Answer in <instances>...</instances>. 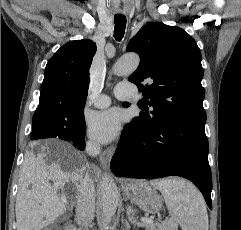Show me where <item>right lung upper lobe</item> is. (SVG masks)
Here are the masks:
<instances>
[{
    "mask_svg": "<svg viewBox=\"0 0 241 230\" xmlns=\"http://www.w3.org/2000/svg\"><path fill=\"white\" fill-rule=\"evenodd\" d=\"M95 53L94 42L88 39L75 40L64 44L49 59L36 114L85 106L90 82L89 69Z\"/></svg>",
    "mask_w": 241,
    "mask_h": 230,
    "instance_id": "right-lung-upper-lobe-1",
    "label": "right lung upper lobe"
}]
</instances>
